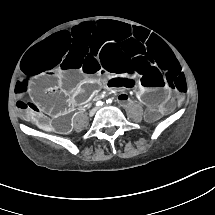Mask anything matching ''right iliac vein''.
<instances>
[{
    "instance_id": "63e3f726",
    "label": "right iliac vein",
    "mask_w": 215,
    "mask_h": 215,
    "mask_svg": "<svg viewBox=\"0 0 215 215\" xmlns=\"http://www.w3.org/2000/svg\"><path fill=\"white\" fill-rule=\"evenodd\" d=\"M95 114V110L94 109H92L91 111H90V113H89V116H93Z\"/></svg>"
}]
</instances>
